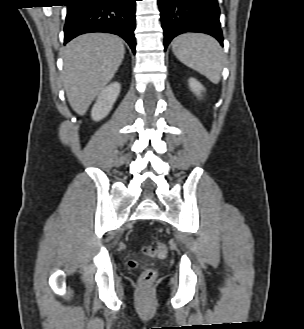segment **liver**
Instances as JSON below:
<instances>
[{"label":"liver","mask_w":304,"mask_h":329,"mask_svg":"<svg viewBox=\"0 0 304 329\" xmlns=\"http://www.w3.org/2000/svg\"><path fill=\"white\" fill-rule=\"evenodd\" d=\"M124 54L122 40L106 33L84 34L66 45L63 85L69 104L77 114H85L114 77Z\"/></svg>","instance_id":"obj_1"}]
</instances>
